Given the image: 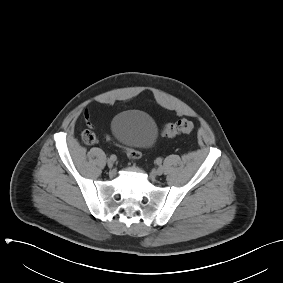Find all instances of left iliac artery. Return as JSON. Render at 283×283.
<instances>
[{
	"label": "left iliac artery",
	"mask_w": 283,
	"mask_h": 283,
	"mask_svg": "<svg viewBox=\"0 0 283 283\" xmlns=\"http://www.w3.org/2000/svg\"><path fill=\"white\" fill-rule=\"evenodd\" d=\"M156 163H157L158 165H161L162 159H161V158H157Z\"/></svg>",
	"instance_id": "obj_1"
}]
</instances>
